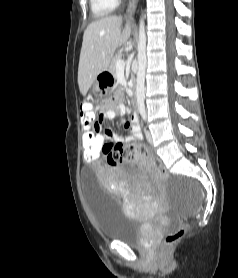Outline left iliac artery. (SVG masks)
Here are the masks:
<instances>
[{"instance_id": "left-iliac-artery-1", "label": "left iliac artery", "mask_w": 238, "mask_h": 278, "mask_svg": "<svg viewBox=\"0 0 238 278\" xmlns=\"http://www.w3.org/2000/svg\"><path fill=\"white\" fill-rule=\"evenodd\" d=\"M142 118H143L144 120H146V114H145V113H142Z\"/></svg>"}]
</instances>
